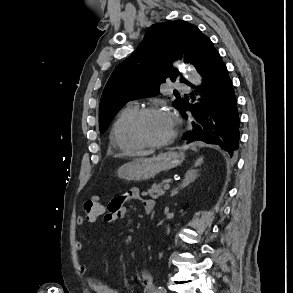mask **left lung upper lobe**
<instances>
[{
    "label": "left lung upper lobe",
    "instance_id": "obj_1",
    "mask_svg": "<svg viewBox=\"0 0 293 293\" xmlns=\"http://www.w3.org/2000/svg\"><path fill=\"white\" fill-rule=\"evenodd\" d=\"M209 40L195 25L183 20L152 25L138 49L116 67L104 88L99 109L100 132L107 130L126 102L157 95L167 79L179 78L180 82L190 85L171 63L184 59L199 72ZM177 97L172 103L176 109L182 102V98Z\"/></svg>",
    "mask_w": 293,
    "mask_h": 293
}]
</instances>
